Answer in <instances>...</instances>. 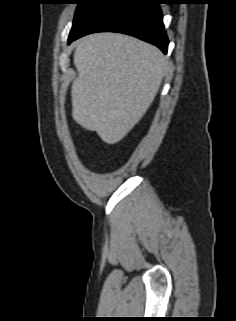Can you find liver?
<instances>
[{"label":"liver","instance_id":"6515ba94","mask_svg":"<svg viewBox=\"0 0 236 321\" xmlns=\"http://www.w3.org/2000/svg\"><path fill=\"white\" fill-rule=\"evenodd\" d=\"M72 117L107 144L122 140L144 116L169 68L155 46L118 33H97L77 42Z\"/></svg>","mask_w":236,"mask_h":321}]
</instances>
